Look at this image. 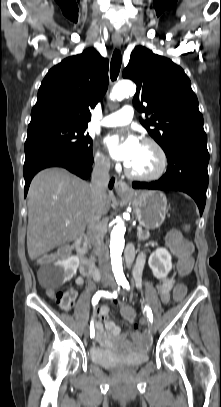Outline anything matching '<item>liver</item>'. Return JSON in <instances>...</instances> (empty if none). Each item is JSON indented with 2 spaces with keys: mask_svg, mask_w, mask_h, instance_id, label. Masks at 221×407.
<instances>
[{
  "mask_svg": "<svg viewBox=\"0 0 221 407\" xmlns=\"http://www.w3.org/2000/svg\"><path fill=\"white\" fill-rule=\"evenodd\" d=\"M113 194L96 205L90 184L63 168L40 171L28 191L27 249L31 260L78 238L93 220L111 206ZM69 222L68 224H66Z\"/></svg>",
  "mask_w": 221,
  "mask_h": 407,
  "instance_id": "liver-1",
  "label": "liver"
}]
</instances>
